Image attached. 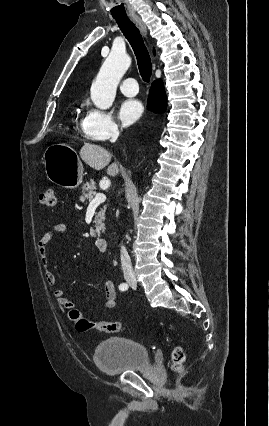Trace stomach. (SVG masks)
<instances>
[{
    "label": "stomach",
    "instance_id": "obj_1",
    "mask_svg": "<svg viewBox=\"0 0 269 426\" xmlns=\"http://www.w3.org/2000/svg\"><path fill=\"white\" fill-rule=\"evenodd\" d=\"M43 163L47 178L68 189L77 188L83 179V165L76 152L66 144H53L46 148Z\"/></svg>",
    "mask_w": 269,
    "mask_h": 426
}]
</instances>
